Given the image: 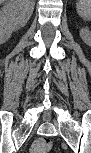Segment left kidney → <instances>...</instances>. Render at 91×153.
<instances>
[{"label": "left kidney", "instance_id": "left-kidney-1", "mask_svg": "<svg viewBox=\"0 0 91 153\" xmlns=\"http://www.w3.org/2000/svg\"><path fill=\"white\" fill-rule=\"evenodd\" d=\"M80 37L86 44H90L91 42V33L88 27L82 28L80 30Z\"/></svg>", "mask_w": 91, "mask_h": 153}]
</instances>
